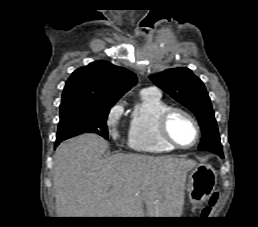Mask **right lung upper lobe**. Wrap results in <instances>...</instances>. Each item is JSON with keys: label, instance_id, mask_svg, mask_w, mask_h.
<instances>
[{"label": "right lung upper lobe", "instance_id": "obj_1", "mask_svg": "<svg viewBox=\"0 0 258 227\" xmlns=\"http://www.w3.org/2000/svg\"><path fill=\"white\" fill-rule=\"evenodd\" d=\"M136 83V75L131 71L107 61H97L72 73L62 98L114 105Z\"/></svg>", "mask_w": 258, "mask_h": 227}]
</instances>
